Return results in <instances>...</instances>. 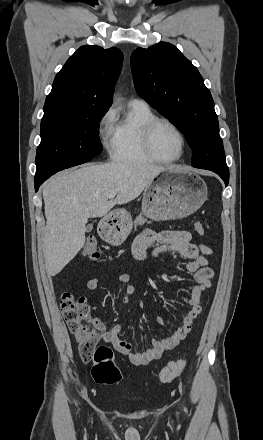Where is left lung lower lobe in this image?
<instances>
[{"mask_svg":"<svg viewBox=\"0 0 263 440\" xmlns=\"http://www.w3.org/2000/svg\"><path fill=\"white\" fill-rule=\"evenodd\" d=\"M208 170H210V169H208ZM211 171L217 173L223 179V181L225 182V186L228 185V183H229V171H225V172H222V171H219V170H211Z\"/></svg>","mask_w":263,"mask_h":440,"instance_id":"left-lung-lower-lobe-1","label":"left lung lower lobe"}]
</instances>
